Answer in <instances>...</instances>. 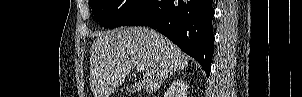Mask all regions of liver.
<instances>
[{"label":"liver","instance_id":"liver-1","mask_svg":"<svg viewBox=\"0 0 302 97\" xmlns=\"http://www.w3.org/2000/svg\"><path fill=\"white\" fill-rule=\"evenodd\" d=\"M139 64L145 67L142 86L153 93L168 75L188 66V57L169 39L146 27L99 33L90 51V85L94 97H109Z\"/></svg>","mask_w":302,"mask_h":97}]
</instances>
